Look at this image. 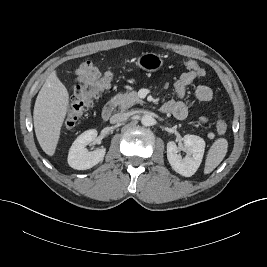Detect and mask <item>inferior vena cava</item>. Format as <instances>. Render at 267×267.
<instances>
[{
    "instance_id": "602c4592",
    "label": "inferior vena cava",
    "mask_w": 267,
    "mask_h": 267,
    "mask_svg": "<svg viewBox=\"0 0 267 267\" xmlns=\"http://www.w3.org/2000/svg\"><path fill=\"white\" fill-rule=\"evenodd\" d=\"M128 118L126 113H117L114 114L111 118H110V123L115 124V123H120L125 121Z\"/></svg>"
}]
</instances>
